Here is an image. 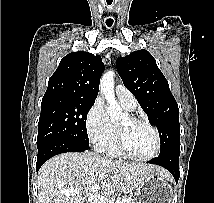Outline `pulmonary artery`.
I'll list each match as a JSON object with an SVG mask.
<instances>
[{
  "label": "pulmonary artery",
  "instance_id": "1",
  "mask_svg": "<svg viewBox=\"0 0 214 203\" xmlns=\"http://www.w3.org/2000/svg\"><path fill=\"white\" fill-rule=\"evenodd\" d=\"M115 93L120 103L127 109L133 110L136 107V100L133 94L124 85H117L115 88Z\"/></svg>",
  "mask_w": 214,
  "mask_h": 203
}]
</instances>
